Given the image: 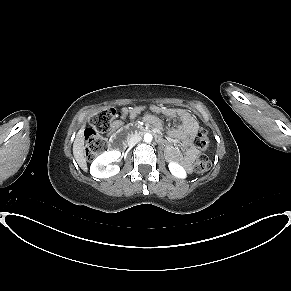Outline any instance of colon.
<instances>
[{
	"instance_id": "obj_1",
	"label": "colon",
	"mask_w": 291,
	"mask_h": 291,
	"mask_svg": "<svg viewBox=\"0 0 291 291\" xmlns=\"http://www.w3.org/2000/svg\"><path fill=\"white\" fill-rule=\"evenodd\" d=\"M122 109L106 108L95 114L90 120V126L85 130L86 141L85 155L92 160L107 150V144L101 134L111 129L113 122L122 116ZM193 145L202 151L208 150L210 136L207 131L200 130L193 138ZM210 167V160L205 154H201L194 163L196 173H204Z\"/></svg>"
}]
</instances>
